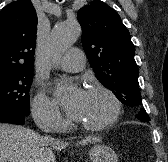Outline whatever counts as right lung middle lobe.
<instances>
[{
  "instance_id": "obj_1",
  "label": "right lung middle lobe",
  "mask_w": 168,
  "mask_h": 162,
  "mask_svg": "<svg viewBox=\"0 0 168 162\" xmlns=\"http://www.w3.org/2000/svg\"><path fill=\"white\" fill-rule=\"evenodd\" d=\"M33 71L0 77V111L27 116Z\"/></svg>"
}]
</instances>
